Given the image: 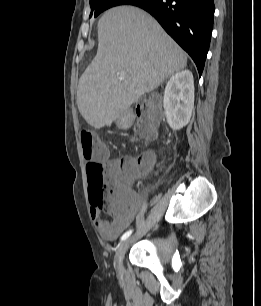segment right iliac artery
<instances>
[{
  "instance_id": "82829eb1",
  "label": "right iliac artery",
  "mask_w": 261,
  "mask_h": 306,
  "mask_svg": "<svg viewBox=\"0 0 261 306\" xmlns=\"http://www.w3.org/2000/svg\"><path fill=\"white\" fill-rule=\"evenodd\" d=\"M131 234H132V230L125 232L121 237V241L127 239Z\"/></svg>"
}]
</instances>
